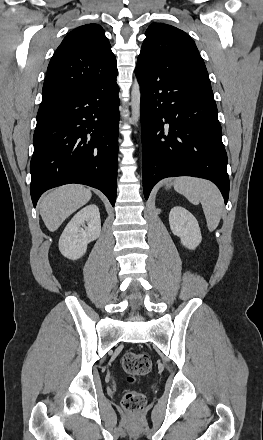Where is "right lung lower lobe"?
Here are the masks:
<instances>
[{
	"mask_svg": "<svg viewBox=\"0 0 263 440\" xmlns=\"http://www.w3.org/2000/svg\"><path fill=\"white\" fill-rule=\"evenodd\" d=\"M118 91L114 78L40 106L30 163L34 207L46 190L68 183L97 188L115 205Z\"/></svg>",
	"mask_w": 263,
	"mask_h": 440,
	"instance_id": "right-lung-lower-lobe-1",
	"label": "right lung lower lobe"
}]
</instances>
